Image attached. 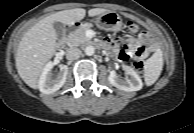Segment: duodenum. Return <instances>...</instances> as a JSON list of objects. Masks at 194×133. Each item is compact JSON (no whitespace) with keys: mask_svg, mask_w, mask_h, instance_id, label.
<instances>
[{"mask_svg":"<svg viewBox=\"0 0 194 133\" xmlns=\"http://www.w3.org/2000/svg\"><path fill=\"white\" fill-rule=\"evenodd\" d=\"M81 27H82V22H81L80 20H75V21L73 22V24L67 25V26L65 27L64 33L66 34V33H67L70 29H72V28L80 29ZM65 43H66V38L63 37V38L60 39V41L58 42V45H59L60 47H62V46L65 45ZM97 46L103 47L101 43H98Z\"/></svg>","mask_w":194,"mask_h":133,"instance_id":"410a0bca","label":"duodenum"}]
</instances>
